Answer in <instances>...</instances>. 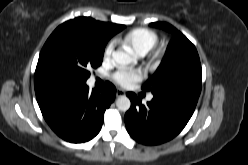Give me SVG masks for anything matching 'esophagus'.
<instances>
[{
    "mask_svg": "<svg viewBox=\"0 0 248 165\" xmlns=\"http://www.w3.org/2000/svg\"><path fill=\"white\" fill-rule=\"evenodd\" d=\"M124 94H125V91H124V90H122V89H117V91H116V96H117V97L122 96V95H124Z\"/></svg>",
    "mask_w": 248,
    "mask_h": 165,
    "instance_id": "1",
    "label": "esophagus"
}]
</instances>
